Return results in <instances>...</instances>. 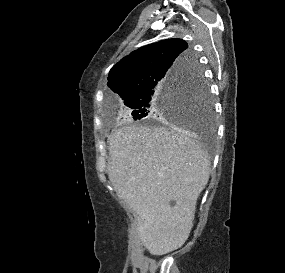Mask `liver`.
I'll return each instance as SVG.
<instances>
[{
    "instance_id": "liver-1",
    "label": "liver",
    "mask_w": 285,
    "mask_h": 273,
    "mask_svg": "<svg viewBox=\"0 0 285 273\" xmlns=\"http://www.w3.org/2000/svg\"><path fill=\"white\" fill-rule=\"evenodd\" d=\"M109 144L108 177L139 216L143 245L158 256L177 250L189 236L209 180L208 154L176 127L124 125L112 132Z\"/></svg>"
}]
</instances>
